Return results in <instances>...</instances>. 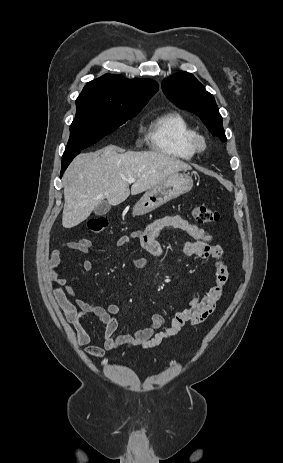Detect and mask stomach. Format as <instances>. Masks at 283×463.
I'll return each mask as SVG.
<instances>
[{
    "label": "stomach",
    "instance_id": "stomach-1",
    "mask_svg": "<svg viewBox=\"0 0 283 463\" xmlns=\"http://www.w3.org/2000/svg\"><path fill=\"white\" fill-rule=\"evenodd\" d=\"M192 177L187 174H175L150 188L133 207L134 216L147 214L166 202L191 190Z\"/></svg>",
    "mask_w": 283,
    "mask_h": 463
}]
</instances>
